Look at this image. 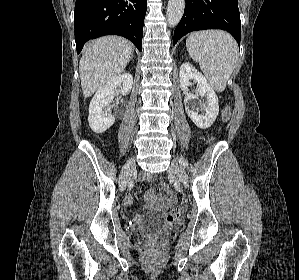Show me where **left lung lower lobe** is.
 <instances>
[{
    "instance_id": "1",
    "label": "left lung lower lobe",
    "mask_w": 299,
    "mask_h": 280,
    "mask_svg": "<svg viewBox=\"0 0 299 280\" xmlns=\"http://www.w3.org/2000/svg\"><path fill=\"white\" fill-rule=\"evenodd\" d=\"M204 29L226 30L240 44L238 0H186L184 15L174 32L173 44L189 32Z\"/></svg>"
}]
</instances>
